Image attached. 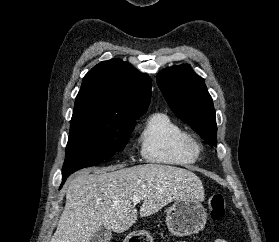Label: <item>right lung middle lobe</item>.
<instances>
[{
  "label": "right lung middle lobe",
  "instance_id": "right-lung-middle-lobe-1",
  "mask_svg": "<svg viewBox=\"0 0 279 242\" xmlns=\"http://www.w3.org/2000/svg\"><path fill=\"white\" fill-rule=\"evenodd\" d=\"M136 120L94 119L72 116L62 179L73 172L95 166L122 151Z\"/></svg>",
  "mask_w": 279,
  "mask_h": 242
}]
</instances>
